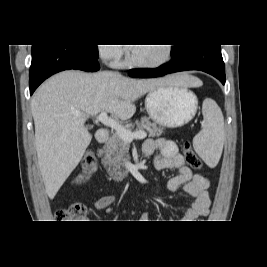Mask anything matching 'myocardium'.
<instances>
[{"instance_id":"myocardium-1","label":"myocardium","mask_w":267,"mask_h":267,"mask_svg":"<svg viewBox=\"0 0 267 267\" xmlns=\"http://www.w3.org/2000/svg\"><path fill=\"white\" fill-rule=\"evenodd\" d=\"M165 46V55L162 59L154 62H139L135 59L133 56L132 51H130L127 55V63L131 66L137 67V68H157L160 67L167 62L170 61L172 56V47L170 44H164Z\"/></svg>"}]
</instances>
